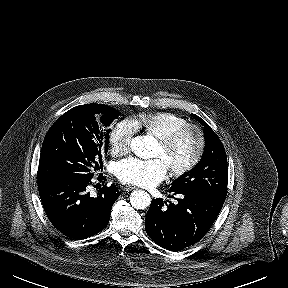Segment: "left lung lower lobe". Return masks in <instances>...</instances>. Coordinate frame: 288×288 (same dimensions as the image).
I'll return each mask as SVG.
<instances>
[{"label":"left lung lower lobe","instance_id":"left-lung-lower-lobe-1","mask_svg":"<svg viewBox=\"0 0 288 288\" xmlns=\"http://www.w3.org/2000/svg\"><path fill=\"white\" fill-rule=\"evenodd\" d=\"M169 196L177 201L152 200L145 218V229L156 244L177 251L205 236L224 202L208 195L177 190L170 191Z\"/></svg>","mask_w":288,"mask_h":288}]
</instances>
